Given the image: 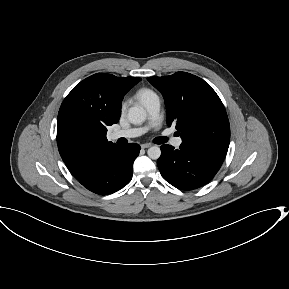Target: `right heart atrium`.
Masks as SVG:
<instances>
[{"label":"right heart atrium","mask_w":289,"mask_h":289,"mask_svg":"<svg viewBox=\"0 0 289 289\" xmlns=\"http://www.w3.org/2000/svg\"><path fill=\"white\" fill-rule=\"evenodd\" d=\"M124 108H125V103L122 104V110H124Z\"/></svg>","instance_id":"d8ad5b80"}]
</instances>
